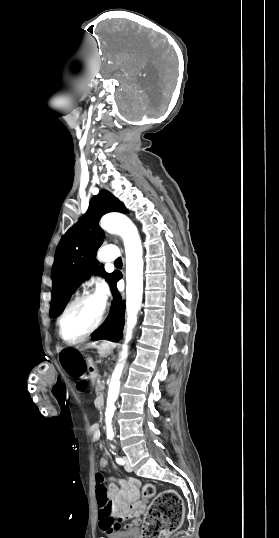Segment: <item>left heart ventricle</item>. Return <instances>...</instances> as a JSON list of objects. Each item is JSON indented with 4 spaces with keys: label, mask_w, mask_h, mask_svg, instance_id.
<instances>
[{
    "label": "left heart ventricle",
    "mask_w": 279,
    "mask_h": 538,
    "mask_svg": "<svg viewBox=\"0 0 279 538\" xmlns=\"http://www.w3.org/2000/svg\"><path fill=\"white\" fill-rule=\"evenodd\" d=\"M101 303L97 297L88 298L73 306L63 321V335L68 341H74L84 334L95 322Z\"/></svg>",
    "instance_id": "b2bd125f"
}]
</instances>
